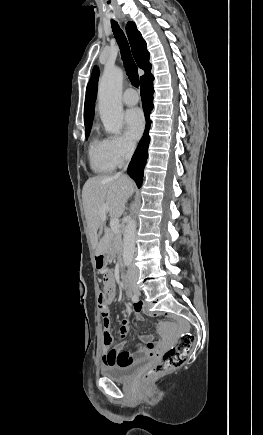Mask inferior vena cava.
I'll return each instance as SVG.
<instances>
[{"instance_id":"1","label":"inferior vena cava","mask_w":263,"mask_h":435,"mask_svg":"<svg viewBox=\"0 0 263 435\" xmlns=\"http://www.w3.org/2000/svg\"><path fill=\"white\" fill-rule=\"evenodd\" d=\"M134 150H135V144H129L128 147H127V153H126V156H125L127 162L130 161V159H131V157H132V155H133V153H134ZM126 169H127V165L125 166L124 170H126ZM117 175H122V172H119ZM128 274H129V275L137 274V269H136V267L133 266V265H131V266L128 268Z\"/></svg>"}]
</instances>
